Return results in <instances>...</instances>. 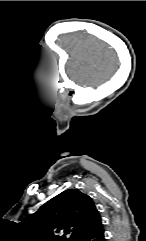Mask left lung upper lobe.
<instances>
[{
	"instance_id": "left-lung-upper-lobe-1",
	"label": "left lung upper lobe",
	"mask_w": 146,
	"mask_h": 241,
	"mask_svg": "<svg viewBox=\"0 0 146 241\" xmlns=\"http://www.w3.org/2000/svg\"><path fill=\"white\" fill-rule=\"evenodd\" d=\"M101 221L93 200L76 189L65 190L24 218L36 241H78Z\"/></svg>"
}]
</instances>
